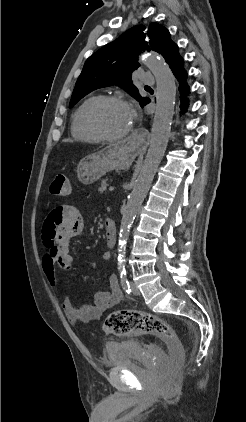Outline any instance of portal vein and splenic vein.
I'll use <instances>...</instances> for the list:
<instances>
[{"label": "portal vein and splenic vein", "mask_w": 246, "mask_h": 422, "mask_svg": "<svg viewBox=\"0 0 246 422\" xmlns=\"http://www.w3.org/2000/svg\"><path fill=\"white\" fill-rule=\"evenodd\" d=\"M113 190H114L113 186L109 187V191H113Z\"/></svg>", "instance_id": "portal-vein-and-splenic-vein-1"}]
</instances>
